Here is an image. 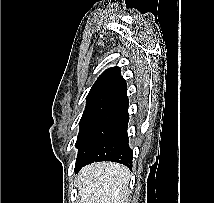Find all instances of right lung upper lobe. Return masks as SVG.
Masks as SVG:
<instances>
[{"label":"right lung upper lobe","instance_id":"right-lung-upper-lobe-1","mask_svg":"<svg viewBox=\"0 0 214 203\" xmlns=\"http://www.w3.org/2000/svg\"><path fill=\"white\" fill-rule=\"evenodd\" d=\"M126 95V81L121 76L120 67L105 70L93 84L87 98L119 99Z\"/></svg>","mask_w":214,"mask_h":203}]
</instances>
